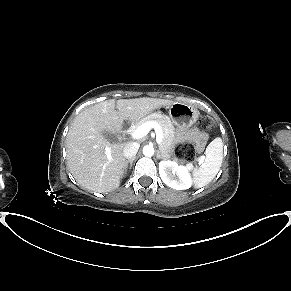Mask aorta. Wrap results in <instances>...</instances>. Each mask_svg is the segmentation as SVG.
Masks as SVG:
<instances>
[{"instance_id": "aorta-1", "label": "aorta", "mask_w": 291, "mask_h": 291, "mask_svg": "<svg viewBox=\"0 0 291 291\" xmlns=\"http://www.w3.org/2000/svg\"><path fill=\"white\" fill-rule=\"evenodd\" d=\"M154 147L153 145L149 144L143 147V154L144 156L151 157L154 155Z\"/></svg>"}]
</instances>
